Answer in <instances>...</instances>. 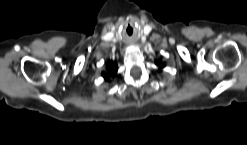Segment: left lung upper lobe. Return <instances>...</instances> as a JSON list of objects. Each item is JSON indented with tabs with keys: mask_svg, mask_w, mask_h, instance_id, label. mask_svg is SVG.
<instances>
[{
	"mask_svg": "<svg viewBox=\"0 0 247 145\" xmlns=\"http://www.w3.org/2000/svg\"><path fill=\"white\" fill-rule=\"evenodd\" d=\"M156 64H157L158 66H160V68H162V67H164V66H165L163 63H161V61H160V60H159V61H156Z\"/></svg>",
	"mask_w": 247,
	"mask_h": 145,
	"instance_id": "obj_1",
	"label": "left lung upper lobe"
}]
</instances>
